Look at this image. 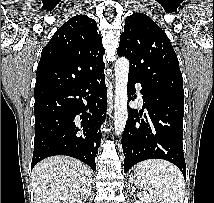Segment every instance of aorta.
I'll return each instance as SVG.
<instances>
[{
  "mask_svg": "<svg viewBox=\"0 0 214 203\" xmlns=\"http://www.w3.org/2000/svg\"><path fill=\"white\" fill-rule=\"evenodd\" d=\"M129 73V61L120 57L115 62V134L120 136L123 133L127 119V83Z\"/></svg>",
  "mask_w": 214,
  "mask_h": 203,
  "instance_id": "obj_1",
  "label": "aorta"
}]
</instances>
